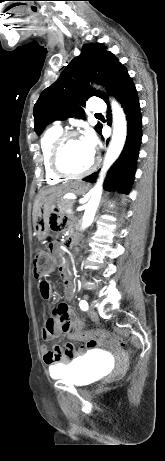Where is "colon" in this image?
<instances>
[{
    "mask_svg": "<svg viewBox=\"0 0 165 461\" xmlns=\"http://www.w3.org/2000/svg\"><path fill=\"white\" fill-rule=\"evenodd\" d=\"M49 250L51 248H39L34 256V274L36 277H42L48 275L54 270V262L50 257ZM99 339L109 340L111 343L124 348L126 342L119 336L112 335L109 332H101L98 335L89 334L87 337V343H82L78 349L79 353L84 352L88 347L94 348V345L98 342ZM65 349L67 352L75 353V345L70 342L66 344Z\"/></svg>",
    "mask_w": 165,
    "mask_h": 461,
    "instance_id": "5ec220e1",
    "label": "colon"
}]
</instances>
